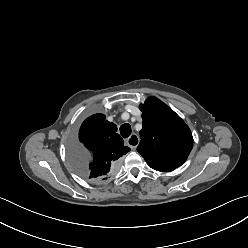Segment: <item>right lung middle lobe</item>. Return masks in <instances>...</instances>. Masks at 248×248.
<instances>
[{
	"label": "right lung middle lobe",
	"instance_id": "dd1d6c3e",
	"mask_svg": "<svg viewBox=\"0 0 248 248\" xmlns=\"http://www.w3.org/2000/svg\"><path fill=\"white\" fill-rule=\"evenodd\" d=\"M69 159L75 171L85 177L89 156L83 147L76 142L71 143L69 146Z\"/></svg>",
	"mask_w": 248,
	"mask_h": 248
}]
</instances>
